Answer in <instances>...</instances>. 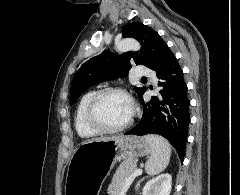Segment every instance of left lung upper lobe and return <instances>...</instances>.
Returning <instances> with one entry per match:
<instances>
[{"label": "left lung upper lobe", "instance_id": "left-lung-upper-lobe-1", "mask_svg": "<svg viewBox=\"0 0 240 195\" xmlns=\"http://www.w3.org/2000/svg\"><path fill=\"white\" fill-rule=\"evenodd\" d=\"M123 37H133L141 43L140 52H127L116 56L108 51L86 61L76 72L71 86L70 104L89 87L118 77H126L133 65H144L157 72L172 54L157 32L142 23L123 26ZM147 88H135L143 103V94Z\"/></svg>", "mask_w": 240, "mask_h": 195}]
</instances>
